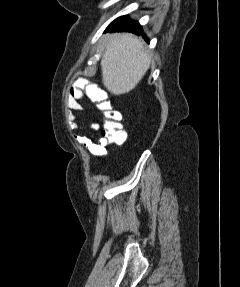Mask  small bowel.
<instances>
[{
  "instance_id": "small-bowel-1",
  "label": "small bowel",
  "mask_w": 240,
  "mask_h": 287,
  "mask_svg": "<svg viewBox=\"0 0 240 287\" xmlns=\"http://www.w3.org/2000/svg\"><path fill=\"white\" fill-rule=\"evenodd\" d=\"M86 96L83 89L79 86H73L66 99L67 107L76 112L83 111V106L81 104V100L84 99ZM100 129L99 123H93L90 125V130L92 132H98ZM78 140L86 145L89 150L96 156L104 158L106 156V145L107 142L103 137H99L96 141L91 140L88 137H80Z\"/></svg>"
}]
</instances>
